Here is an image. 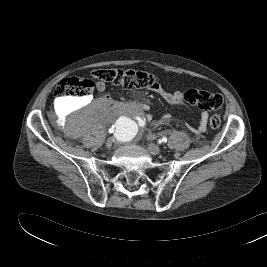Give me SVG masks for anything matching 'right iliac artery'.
<instances>
[{"label": "right iliac artery", "mask_w": 267, "mask_h": 267, "mask_svg": "<svg viewBox=\"0 0 267 267\" xmlns=\"http://www.w3.org/2000/svg\"><path fill=\"white\" fill-rule=\"evenodd\" d=\"M109 132H110V133H113V132H114V128H113V126H112L111 129H109Z\"/></svg>", "instance_id": "82829eb1"}]
</instances>
